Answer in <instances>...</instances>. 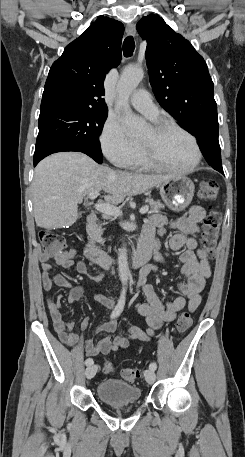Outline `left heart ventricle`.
<instances>
[{"mask_svg":"<svg viewBox=\"0 0 245 457\" xmlns=\"http://www.w3.org/2000/svg\"><path fill=\"white\" fill-rule=\"evenodd\" d=\"M136 141L144 147L151 158L165 166L186 168L194 161L189 138L178 130H168L158 136L150 127Z\"/></svg>","mask_w":245,"mask_h":457,"instance_id":"1","label":"left heart ventricle"}]
</instances>
